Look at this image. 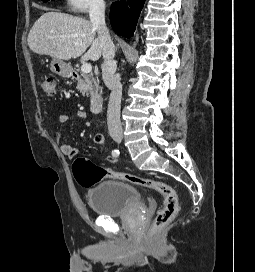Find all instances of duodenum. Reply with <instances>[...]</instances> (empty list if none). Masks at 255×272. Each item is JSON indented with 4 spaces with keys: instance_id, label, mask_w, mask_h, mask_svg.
I'll return each mask as SVG.
<instances>
[{
    "instance_id": "obj_1",
    "label": "duodenum",
    "mask_w": 255,
    "mask_h": 272,
    "mask_svg": "<svg viewBox=\"0 0 255 272\" xmlns=\"http://www.w3.org/2000/svg\"><path fill=\"white\" fill-rule=\"evenodd\" d=\"M74 78H78V74L74 72L73 74ZM103 105V98L100 95L94 94L90 98V108L93 113H98Z\"/></svg>"
}]
</instances>
